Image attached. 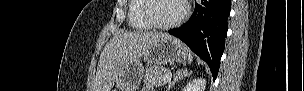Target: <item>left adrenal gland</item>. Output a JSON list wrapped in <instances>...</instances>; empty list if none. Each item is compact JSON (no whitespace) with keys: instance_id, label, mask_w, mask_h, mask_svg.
Returning a JSON list of instances; mask_svg holds the SVG:
<instances>
[{"instance_id":"left-adrenal-gland-1","label":"left adrenal gland","mask_w":304,"mask_h":91,"mask_svg":"<svg viewBox=\"0 0 304 91\" xmlns=\"http://www.w3.org/2000/svg\"><path fill=\"white\" fill-rule=\"evenodd\" d=\"M191 73H188L187 70H177L173 76V80L169 82L167 86V91H170V88H172L179 80L183 79L184 77L189 76Z\"/></svg>"}]
</instances>
